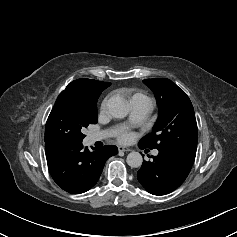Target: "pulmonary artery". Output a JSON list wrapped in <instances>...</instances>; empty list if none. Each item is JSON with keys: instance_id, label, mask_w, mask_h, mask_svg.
Wrapping results in <instances>:
<instances>
[{"instance_id": "e3ab8cb5", "label": "pulmonary artery", "mask_w": 237, "mask_h": 237, "mask_svg": "<svg viewBox=\"0 0 237 237\" xmlns=\"http://www.w3.org/2000/svg\"><path fill=\"white\" fill-rule=\"evenodd\" d=\"M152 109V103L147 100H134L131 102V114H130V123L133 125H141L147 115L150 113ZM116 133H122V129L119 128L115 131ZM109 132H100V133H92L90 135V140L92 142H96L102 140L109 136ZM158 150L153 151V155H158Z\"/></svg>"}]
</instances>
